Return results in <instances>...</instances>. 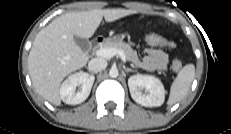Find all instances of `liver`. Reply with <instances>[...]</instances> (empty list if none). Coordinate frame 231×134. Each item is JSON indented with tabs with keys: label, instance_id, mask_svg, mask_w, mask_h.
<instances>
[{
	"label": "liver",
	"instance_id": "obj_1",
	"mask_svg": "<svg viewBox=\"0 0 231 134\" xmlns=\"http://www.w3.org/2000/svg\"><path fill=\"white\" fill-rule=\"evenodd\" d=\"M134 13L135 10L122 8L93 9L69 12L54 19L36 35L28 56L29 75L36 92L50 103L60 105V83L89 60L74 37H92L103 17L106 22H113Z\"/></svg>",
	"mask_w": 231,
	"mask_h": 134
}]
</instances>
